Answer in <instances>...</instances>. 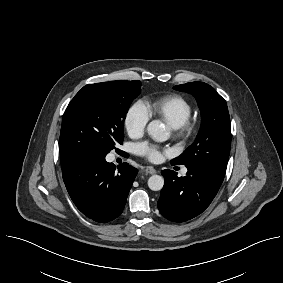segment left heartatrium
<instances>
[{"label": "left heart atrium", "instance_id": "39dd6f15", "mask_svg": "<svg viewBox=\"0 0 283 283\" xmlns=\"http://www.w3.org/2000/svg\"><path fill=\"white\" fill-rule=\"evenodd\" d=\"M138 153L152 162L159 161L163 154L160 147L149 143L140 144L138 146Z\"/></svg>", "mask_w": 283, "mask_h": 283}]
</instances>
